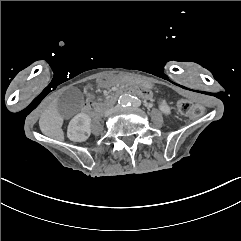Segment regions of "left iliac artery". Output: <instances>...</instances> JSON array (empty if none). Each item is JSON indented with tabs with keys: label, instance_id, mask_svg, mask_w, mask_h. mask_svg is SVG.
Instances as JSON below:
<instances>
[{
	"label": "left iliac artery",
	"instance_id": "1",
	"mask_svg": "<svg viewBox=\"0 0 241 241\" xmlns=\"http://www.w3.org/2000/svg\"><path fill=\"white\" fill-rule=\"evenodd\" d=\"M130 106H133V107H139L141 106V101L140 99H138L137 97H133L131 102H130Z\"/></svg>",
	"mask_w": 241,
	"mask_h": 241
}]
</instances>
